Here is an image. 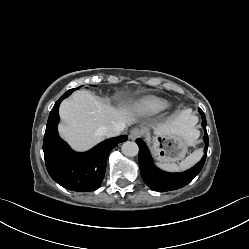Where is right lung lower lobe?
<instances>
[{
  "instance_id": "1",
  "label": "right lung lower lobe",
  "mask_w": 249,
  "mask_h": 249,
  "mask_svg": "<svg viewBox=\"0 0 249 249\" xmlns=\"http://www.w3.org/2000/svg\"><path fill=\"white\" fill-rule=\"evenodd\" d=\"M52 108L44 136L43 151L46 168L51 178L66 189L79 192L94 191L104 178L106 162L111 150L127 136L105 140L84 153L71 150L58 135L59 105Z\"/></svg>"
}]
</instances>
